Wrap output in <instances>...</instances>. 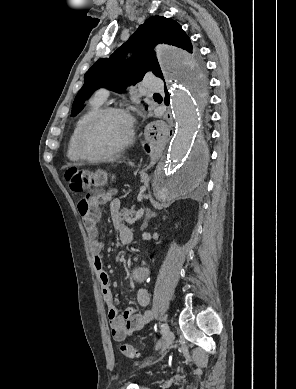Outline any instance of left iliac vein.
<instances>
[{
    "instance_id": "obj_1",
    "label": "left iliac vein",
    "mask_w": 296,
    "mask_h": 389,
    "mask_svg": "<svg viewBox=\"0 0 296 389\" xmlns=\"http://www.w3.org/2000/svg\"><path fill=\"white\" fill-rule=\"evenodd\" d=\"M173 340H174V334L172 331L168 330L166 335H165V338L163 340V343H162L161 353H163L167 348H169L171 346V344L173 343ZM149 363H150V361L143 364V366H146Z\"/></svg>"
}]
</instances>
